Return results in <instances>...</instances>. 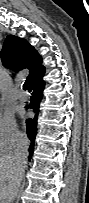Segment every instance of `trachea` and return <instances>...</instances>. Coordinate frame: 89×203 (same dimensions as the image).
Masks as SVG:
<instances>
[{
	"label": "trachea",
	"mask_w": 89,
	"mask_h": 203,
	"mask_svg": "<svg viewBox=\"0 0 89 203\" xmlns=\"http://www.w3.org/2000/svg\"><path fill=\"white\" fill-rule=\"evenodd\" d=\"M23 89H24V90H28V91H30V88H29L27 82H25V83L23 84Z\"/></svg>",
	"instance_id": "obj_1"
}]
</instances>
